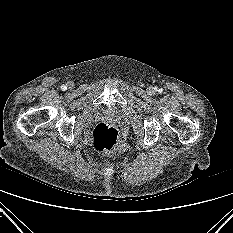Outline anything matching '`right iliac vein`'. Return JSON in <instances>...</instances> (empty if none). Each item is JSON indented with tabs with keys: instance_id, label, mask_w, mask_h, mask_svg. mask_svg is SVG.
Masks as SVG:
<instances>
[{
	"instance_id": "obj_1",
	"label": "right iliac vein",
	"mask_w": 233,
	"mask_h": 233,
	"mask_svg": "<svg viewBox=\"0 0 233 233\" xmlns=\"http://www.w3.org/2000/svg\"><path fill=\"white\" fill-rule=\"evenodd\" d=\"M67 86H68L69 89L72 88V86H73L72 82H68Z\"/></svg>"
}]
</instances>
